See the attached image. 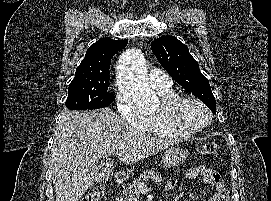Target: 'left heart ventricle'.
Returning a JSON list of instances; mask_svg holds the SVG:
<instances>
[{
    "mask_svg": "<svg viewBox=\"0 0 271 201\" xmlns=\"http://www.w3.org/2000/svg\"><path fill=\"white\" fill-rule=\"evenodd\" d=\"M182 113L186 121L193 125L202 126L208 122L207 113L201 107L195 104H186Z\"/></svg>",
    "mask_w": 271,
    "mask_h": 201,
    "instance_id": "obj_1",
    "label": "left heart ventricle"
}]
</instances>
